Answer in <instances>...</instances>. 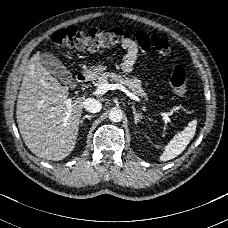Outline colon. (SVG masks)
<instances>
[{
    "label": "colon",
    "mask_w": 228,
    "mask_h": 228,
    "mask_svg": "<svg viewBox=\"0 0 228 228\" xmlns=\"http://www.w3.org/2000/svg\"><path fill=\"white\" fill-rule=\"evenodd\" d=\"M129 39H131V32L127 29L103 30L98 28L78 29L71 27L56 31L50 41L57 46L73 47L78 50H87L94 53L104 47L112 49L115 45L124 43ZM151 43L160 54H165L169 47L167 40L157 36L152 37ZM185 80L184 69L179 66L174 67L170 75V84L175 94H185Z\"/></svg>",
    "instance_id": "5ec220e1"
}]
</instances>
